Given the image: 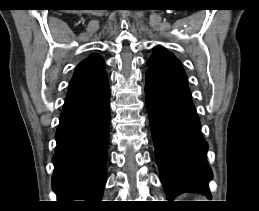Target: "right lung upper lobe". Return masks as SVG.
<instances>
[{"label":"right lung upper lobe","instance_id":"1","mask_svg":"<svg viewBox=\"0 0 259 211\" xmlns=\"http://www.w3.org/2000/svg\"><path fill=\"white\" fill-rule=\"evenodd\" d=\"M107 81L104 60L99 55H91L76 67L65 101L92 94Z\"/></svg>","mask_w":259,"mask_h":211}]
</instances>
